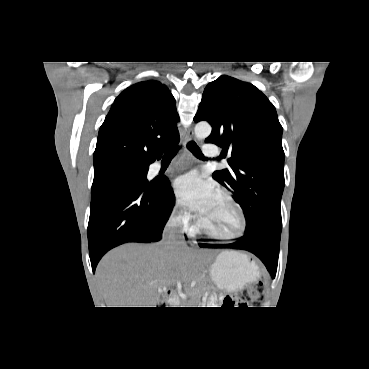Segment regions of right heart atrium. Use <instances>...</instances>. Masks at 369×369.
Here are the masks:
<instances>
[{
  "label": "right heart atrium",
  "mask_w": 369,
  "mask_h": 369,
  "mask_svg": "<svg viewBox=\"0 0 369 369\" xmlns=\"http://www.w3.org/2000/svg\"><path fill=\"white\" fill-rule=\"evenodd\" d=\"M174 219L181 223L184 227H188L190 222V214L183 208L180 202H176L173 207Z\"/></svg>",
  "instance_id": "1"
}]
</instances>
